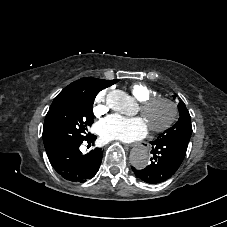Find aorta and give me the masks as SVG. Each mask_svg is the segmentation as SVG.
Masks as SVG:
<instances>
[{"label": "aorta", "mask_w": 227, "mask_h": 227, "mask_svg": "<svg viewBox=\"0 0 227 227\" xmlns=\"http://www.w3.org/2000/svg\"><path fill=\"white\" fill-rule=\"evenodd\" d=\"M124 96L121 91H112L109 93L107 100L109 104L113 103L116 99ZM130 162L132 166L137 169H143L149 164V153L145 147H137L130 153Z\"/></svg>", "instance_id": "762f6f07"}]
</instances>
